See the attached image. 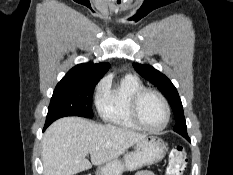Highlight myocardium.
Segmentation results:
<instances>
[{
    "mask_svg": "<svg viewBox=\"0 0 233 175\" xmlns=\"http://www.w3.org/2000/svg\"><path fill=\"white\" fill-rule=\"evenodd\" d=\"M147 94L156 95L160 99V101L162 102V105L164 107L165 120H164V123L159 128H150V127L146 126L140 118L139 105H140L141 99ZM130 114H131L133 121L142 130H145V131L151 132V133H159L167 127V125L170 121L171 111H170V106H169V103H168L166 97L160 91H158L156 89L144 87L133 94L131 101H130Z\"/></svg>",
    "mask_w": 233,
    "mask_h": 175,
    "instance_id": "1",
    "label": "myocardium"
}]
</instances>
